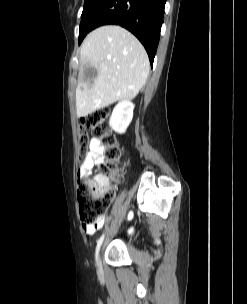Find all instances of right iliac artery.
<instances>
[{
    "instance_id": "1",
    "label": "right iliac artery",
    "mask_w": 247,
    "mask_h": 304,
    "mask_svg": "<svg viewBox=\"0 0 247 304\" xmlns=\"http://www.w3.org/2000/svg\"><path fill=\"white\" fill-rule=\"evenodd\" d=\"M104 236H105V234H103V235L99 238V240H98V242H97V247H96V259H97V257H98V252H99L100 246H101V244H102V242H103V240H104Z\"/></svg>"
}]
</instances>
